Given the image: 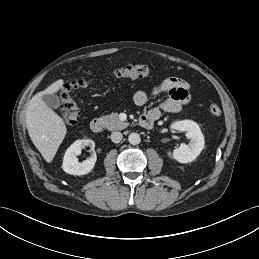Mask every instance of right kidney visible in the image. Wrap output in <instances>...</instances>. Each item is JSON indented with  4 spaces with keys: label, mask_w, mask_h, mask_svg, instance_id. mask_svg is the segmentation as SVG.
Segmentation results:
<instances>
[{
    "label": "right kidney",
    "mask_w": 259,
    "mask_h": 259,
    "mask_svg": "<svg viewBox=\"0 0 259 259\" xmlns=\"http://www.w3.org/2000/svg\"><path fill=\"white\" fill-rule=\"evenodd\" d=\"M86 146L90 147L93 151L95 143L91 139L77 140L66 150L62 164V168L66 173L80 176L92 171L97 160L95 153L83 162H79L77 158L81 150Z\"/></svg>",
    "instance_id": "ca27d5eb"
}]
</instances>
